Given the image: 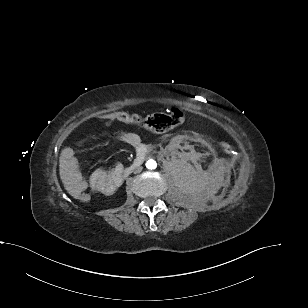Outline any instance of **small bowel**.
Segmentation results:
<instances>
[{"instance_id": "c3829d8e", "label": "small bowel", "mask_w": 308, "mask_h": 308, "mask_svg": "<svg viewBox=\"0 0 308 308\" xmlns=\"http://www.w3.org/2000/svg\"><path fill=\"white\" fill-rule=\"evenodd\" d=\"M122 142L139 148L143 145L140 136L134 132H122L118 136ZM60 167L64 178L69 185V191L75 195L82 191L99 192L111 194L121 183L122 166L116 165L110 170L97 169L88 180H86L79 168L74 152L70 148H65L60 154Z\"/></svg>"}]
</instances>
